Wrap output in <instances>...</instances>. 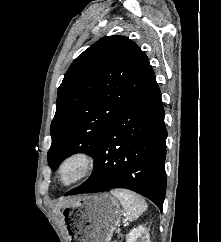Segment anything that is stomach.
Wrapping results in <instances>:
<instances>
[{"label":"stomach","instance_id":"1","mask_svg":"<svg viewBox=\"0 0 221 242\" xmlns=\"http://www.w3.org/2000/svg\"><path fill=\"white\" fill-rule=\"evenodd\" d=\"M65 209L72 242H110L121 218L119 202L108 193L77 197Z\"/></svg>","mask_w":221,"mask_h":242}]
</instances>
